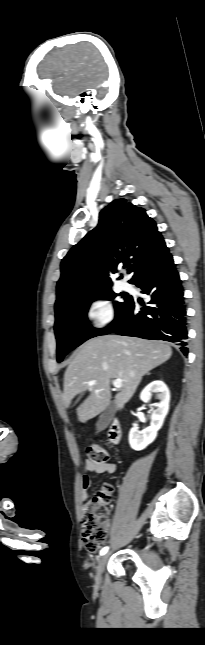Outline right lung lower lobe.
<instances>
[{"label": "right lung lower lobe", "mask_w": 205, "mask_h": 645, "mask_svg": "<svg viewBox=\"0 0 205 645\" xmlns=\"http://www.w3.org/2000/svg\"><path fill=\"white\" fill-rule=\"evenodd\" d=\"M131 283L151 297L148 305L136 312L130 298L117 321L100 335H119L165 340L188 354L187 316L184 289L172 256L141 272ZM143 305V304H142Z\"/></svg>", "instance_id": "right-lung-lower-lobe-1"}]
</instances>
